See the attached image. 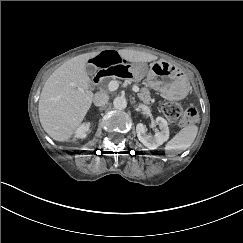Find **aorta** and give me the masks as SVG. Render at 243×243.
<instances>
[{"instance_id":"762f6f07","label":"aorta","mask_w":243,"mask_h":243,"mask_svg":"<svg viewBox=\"0 0 243 243\" xmlns=\"http://www.w3.org/2000/svg\"><path fill=\"white\" fill-rule=\"evenodd\" d=\"M113 105H114L115 109H118V110L125 109L127 107L126 98L124 96L116 97L113 101Z\"/></svg>"}]
</instances>
